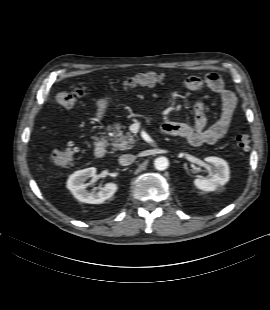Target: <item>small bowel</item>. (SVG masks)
Returning a JSON list of instances; mask_svg holds the SVG:
<instances>
[{"label":"small bowel","mask_w":270,"mask_h":310,"mask_svg":"<svg viewBox=\"0 0 270 310\" xmlns=\"http://www.w3.org/2000/svg\"><path fill=\"white\" fill-rule=\"evenodd\" d=\"M185 87L193 92H200L204 88L210 89L221 100V112L215 123L206 125L203 104L198 101L195 105L193 123L166 122L163 125L165 133L185 138L193 146L215 144L221 140L229 130L236 108V97L226 88L223 79L217 73H208L204 78L188 76L184 81Z\"/></svg>","instance_id":"obj_1"}]
</instances>
